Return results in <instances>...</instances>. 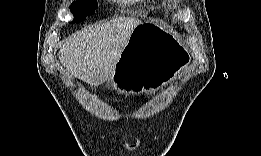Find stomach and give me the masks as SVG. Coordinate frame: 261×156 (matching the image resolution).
<instances>
[{
    "label": "stomach",
    "instance_id": "1",
    "mask_svg": "<svg viewBox=\"0 0 261 156\" xmlns=\"http://www.w3.org/2000/svg\"><path fill=\"white\" fill-rule=\"evenodd\" d=\"M187 61L186 52L169 31L141 23L132 31L110 82L126 95L153 92L170 82Z\"/></svg>",
    "mask_w": 261,
    "mask_h": 156
}]
</instances>
